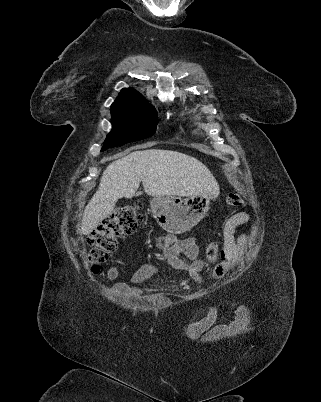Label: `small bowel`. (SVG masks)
Returning <instances> with one entry per match:
<instances>
[{
    "label": "small bowel",
    "instance_id": "1",
    "mask_svg": "<svg viewBox=\"0 0 321 402\" xmlns=\"http://www.w3.org/2000/svg\"><path fill=\"white\" fill-rule=\"evenodd\" d=\"M249 214L245 211H240L231 215L225 222L224 232V253L223 260L211 269L210 277L219 279L227 273L231 266L239 259L242 248L248 242L246 234L236 235V230L247 224ZM156 245L161 251V257L166 261L167 265L175 270L187 273L195 282L201 281V272L207 269L206 261L201 258L200 248L193 237L177 238L174 235L168 234L157 239ZM157 271V266L148 263L143 266L132 278L131 284L117 283L113 286V292L122 293L132 291L135 286L144 281L149 275ZM118 275L116 267L111 266L107 269V277L114 280ZM213 308V305H210ZM239 308V305H235ZM246 308V305H243ZM237 319L231 320L229 326L215 324L214 321H190L188 323L187 332L190 335H198L197 340L203 346L216 347L219 344L217 338L240 333V329H245L248 326L246 319L247 314L242 308L237 310ZM212 329V330H207ZM211 339V340H210Z\"/></svg>",
    "mask_w": 321,
    "mask_h": 402
}]
</instances>
